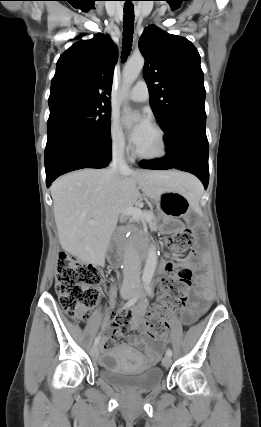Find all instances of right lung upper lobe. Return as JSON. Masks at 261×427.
I'll return each instance as SVG.
<instances>
[{
  "label": "right lung upper lobe",
  "instance_id": "cb5924a9",
  "mask_svg": "<svg viewBox=\"0 0 261 427\" xmlns=\"http://www.w3.org/2000/svg\"><path fill=\"white\" fill-rule=\"evenodd\" d=\"M117 50L109 36L73 44L59 58L51 82L49 108L67 104L110 106Z\"/></svg>",
  "mask_w": 261,
  "mask_h": 427
}]
</instances>
